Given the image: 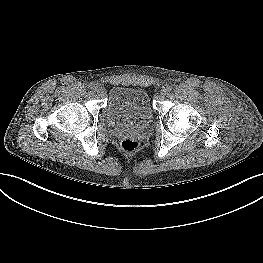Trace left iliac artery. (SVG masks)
I'll return each instance as SVG.
<instances>
[{
  "instance_id": "44dca946",
  "label": "left iliac artery",
  "mask_w": 263,
  "mask_h": 263,
  "mask_svg": "<svg viewBox=\"0 0 263 263\" xmlns=\"http://www.w3.org/2000/svg\"><path fill=\"white\" fill-rule=\"evenodd\" d=\"M166 89H167L168 92H170L172 90V87L171 86H167Z\"/></svg>"
}]
</instances>
